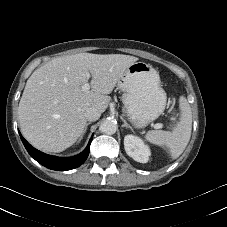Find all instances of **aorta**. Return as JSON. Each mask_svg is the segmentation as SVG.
<instances>
[{"label": "aorta", "instance_id": "aorta-1", "mask_svg": "<svg viewBox=\"0 0 227 227\" xmlns=\"http://www.w3.org/2000/svg\"><path fill=\"white\" fill-rule=\"evenodd\" d=\"M99 130L102 133H105V134H108V135H112V134H114L116 132L117 125H116V123L113 120L107 119V120H104L100 124Z\"/></svg>", "mask_w": 227, "mask_h": 227}]
</instances>
